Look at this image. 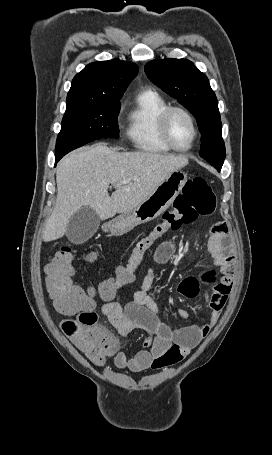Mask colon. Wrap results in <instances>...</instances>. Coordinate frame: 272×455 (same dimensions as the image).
<instances>
[{
	"label": "colon",
	"mask_w": 272,
	"mask_h": 455,
	"mask_svg": "<svg viewBox=\"0 0 272 455\" xmlns=\"http://www.w3.org/2000/svg\"><path fill=\"white\" fill-rule=\"evenodd\" d=\"M216 207V198L203 177L189 179L174 201L173 207L163 213L161 221L137 241L129 258L116 267L114 275L100 283L98 294L104 301L111 300L118 289L136 281L146 251L168 231L177 230L198 216L210 215ZM46 289L58 312L67 315L61 323L65 335L96 365H102L116 348V340L96 326L94 294L73 282V251L60 248L45 267Z\"/></svg>",
	"instance_id": "colon-1"
}]
</instances>
